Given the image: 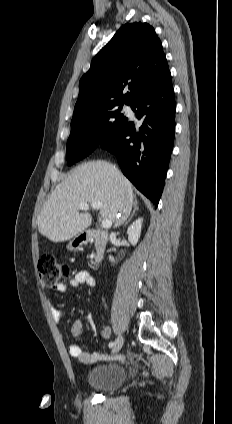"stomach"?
I'll use <instances>...</instances> for the list:
<instances>
[{
    "label": "stomach",
    "mask_w": 232,
    "mask_h": 424,
    "mask_svg": "<svg viewBox=\"0 0 232 424\" xmlns=\"http://www.w3.org/2000/svg\"><path fill=\"white\" fill-rule=\"evenodd\" d=\"M81 236V234L75 236L67 245V249L72 251L77 247H80L84 243V239Z\"/></svg>",
    "instance_id": "stomach-1"
}]
</instances>
